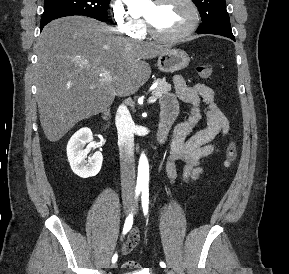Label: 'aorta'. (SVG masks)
Instances as JSON below:
<instances>
[{
  "mask_svg": "<svg viewBox=\"0 0 289 274\" xmlns=\"http://www.w3.org/2000/svg\"><path fill=\"white\" fill-rule=\"evenodd\" d=\"M130 8L140 7L144 2L148 0H123ZM149 181V163L144 154L141 155L138 165V179L139 185H147Z\"/></svg>",
  "mask_w": 289,
  "mask_h": 274,
  "instance_id": "obj_1",
  "label": "aorta"
}]
</instances>
